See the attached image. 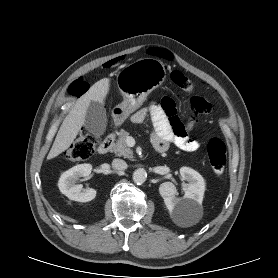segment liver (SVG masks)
I'll return each mask as SVG.
<instances>
[{"label": "liver", "mask_w": 278, "mask_h": 278, "mask_svg": "<svg viewBox=\"0 0 278 278\" xmlns=\"http://www.w3.org/2000/svg\"><path fill=\"white\" fill-rule=\"evenodd\" d=\"M110 79L103 78L97 81L90 89L77 100L68 115L64 118L52 148L47 156L50 160L67 150L84 125L87 109L91 102L104 104L109 92Z\"/></svg>", "instance_id": "obj_1"}]
</instances>
